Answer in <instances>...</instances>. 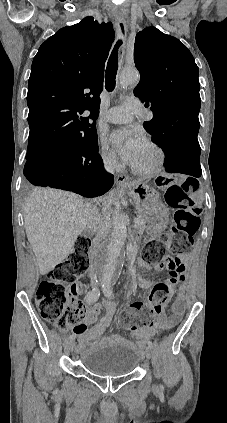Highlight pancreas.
<instances>
[{
    "instance_id": "obj_1",
    "label": "pancreas",
    "mask_w": 227,
    "mask_h": 423,
    "mask_svg": "<svg viewBox=\"0 0 227 423\" xmlns=\"http://www.w3.org/2000/svg\"><path fill=\"white\" fill-rule=\"evenodd\" d=\"M138 223H136V227L135 229H138L139 233H142V231H144V229H146L147 225H146V219L145 217H143V215H141V213H139L138 215Z\"/></svg>"
}]
</instances>
